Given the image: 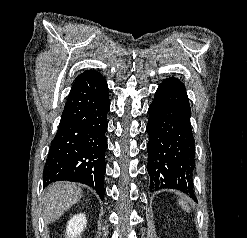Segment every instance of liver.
<instances>
[{"label": "liver", "mask_w": 247, "mask_h": 238, "mask_svg": "<svg viewBox=\"0 0 247 238\" xmlns=\"http://www.w3.org/2000/svg\"><path fill=\"white\" fill-rule=\"evenodd\" d=\"M81 197L82 190L73 183L57 182L47 187L42 199L45 223L50 224L58 220Z\"/></svg>", "instance_id": "liver-1"}]
</instances>
